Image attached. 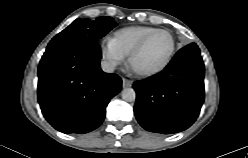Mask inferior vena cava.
Instances as JSON below:
<instances>
[{
    "mask_svg": "<svg viewBox=\"0 0 248 158\" xmlns=\"http://www.w3.org/2000/svg\"><path fill=\"white\" fill-rule=\"evenodd\" d=\"M101 68L106 73H112L115 69V63L111 61H102Z\"/></svg>",
    "mask_w": 248,
    "mask_h": 158,
    "instance_id": "1",
    "label": "inferior vena cava"
}]
</instances>
